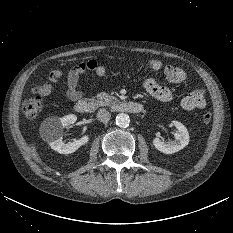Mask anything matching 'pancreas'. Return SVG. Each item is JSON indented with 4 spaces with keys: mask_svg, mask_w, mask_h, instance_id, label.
I'll list each match as a JSON object with an SVG mask.
<instances>
[{
    "mask_svg": "<svg viewBox=\"0 0 233 233\" xmlns=\"http://www.w3.org/2000/svg\"><path fill=\"white\" fill-rule=\"evenodd\" d=\"M100 105H110L113 101H117V98L111 96L105 92H100L96 95Z\"/></svg>",
    "mask_w": 233,
    "mask_h": 233,
    "instance_id": "1",
    "label": "pancreas"
}]
</instances>
